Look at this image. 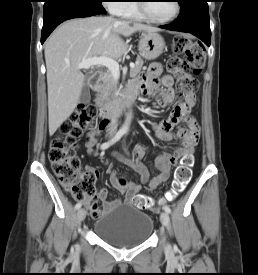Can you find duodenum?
I'll use <instances>...</instances> for the list:
<instances>
[{"instance_id":"duodenum-1","label":"duodenum","mask_w":258,"mask_h":275,"mask_svg":"<svg viewBox=\"0 0 258 275\" xmlns=\"http://www.w3.org/2000/svg\"><path fill=\"white\" fill-rule=\"evenodd\" d=\"M100 82V72H95L89 78V86L92 89L97 88ZM136 89H127L124 95H119L113 99L106 107L102 109L103 122L109 124L111 120L120 115L122 110L132 103L134 98L137 96Z\"/></svg>"}]
</instances>
